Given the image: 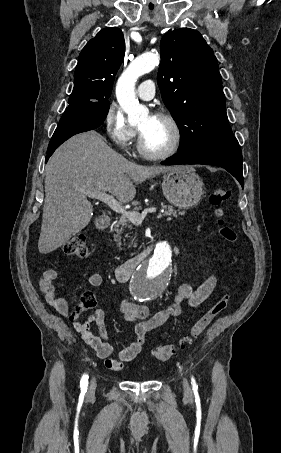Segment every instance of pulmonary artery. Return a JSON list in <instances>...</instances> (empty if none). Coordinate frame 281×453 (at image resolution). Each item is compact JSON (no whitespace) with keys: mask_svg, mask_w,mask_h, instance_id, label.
I'll return each mask as SVG.
<instances>
[{"mask_svg":"<svg viewBox=\"0 0 281 453\" xmlns=\"http://www.w3.org/2000/svg\"><path fill=\"white\" fill-rule=\"evenodd\" d=\"M154 82L152 80H146L140 83L136 90V96L143 99V100H151L154 97L153 92L144 91L150 86H153Z\"/></svg>","mask_w":281,"mask_h":453,"instance_id":"e3ab8cb5","label":"pulmonary artery"}]
</instances>
